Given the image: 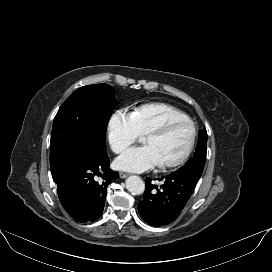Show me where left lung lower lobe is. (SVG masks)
Segmentation results:
<instances>
[{
	"label": "left lung lower lobe",
	"instance_id": "obj_1",
	"mask_svg": "<svg viewBox=\"0 0 272 272\" xmlns=\"http://www.w3.org/2000/svg\"><path fill=\"white\" fill-rule=\"evenodd\" d=\"M200 177L191 174H177L158 178L164 184L158 188L146 180L144 199L138 205L142 219L149 225L158 227L174 221L192 195Z\"/></svg>",
	"mask_w": 272,
	"mask_h": 272
}]
</instances>
